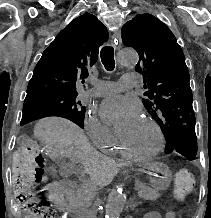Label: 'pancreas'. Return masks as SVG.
I'll return each instance as SVG.
<instances>
[{"label":"pancreas","mask_w":211,"mask_h":218,"mask_svg":"<svg viewBox=\"0 0 211 218\" xmlns=\"http://www.w3.org/2000/svg\"><path fill=\"white\" fill-rule=\"evenodd\" d=\"M136 189L139 190L138 194L140 198H145V200H157L159 194L156 190L144 186V184H136ZM82 190H69L70 199L69 205H78L83 214H87L89 206H91V197H95V189L87 188V186H82Z\"/></svg>","instance_id":"1"}]
</instances>
